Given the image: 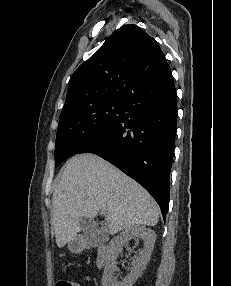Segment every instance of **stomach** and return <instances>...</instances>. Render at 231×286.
<instances>
[{"label":"stomach","mask_w":231,"mask_h":286,"mask_svg":"<svg viewBox=\"0 0 231 286\" xmlns=\"http://www.w3.org/2000/svg\"><path fill=\"white\" fill-rule=\"evenodd\" d=\"M68 247L71 251H77L79 249V246L77 245L76 241L75 240H71L69 243H68Z\"/></svg>","instance_id":"0dacf381"}]
</instances>
